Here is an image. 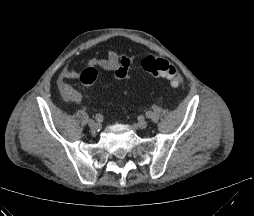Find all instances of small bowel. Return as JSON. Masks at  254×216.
<instances>
[{"label":"small bowel","mask_w":254,"mask_h":216,"mask_svg":"<svg viewBox=\"0 0 254 216\" xmlns=\"http://www.w3.org/2000/svg\"><path fill=\"white\" fill-rule=\"evenodd\" d=\"M90 66L92 68L111 71L114 80L124 81L131 77L135 68V61L132 57L109 51L106 57L91 60ZM79 77L80 74L68 66L63 69L58 79V88L64 100L75 103H81L83 101V95L68 84V81L78 80Z\"/></svg>","instance_id":"1"}]
</instances>
